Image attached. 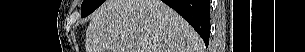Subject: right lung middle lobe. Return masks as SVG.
Masks as SVG:
<instances>
[{
    "label": "right lung middle lobe",
    "mask_w": 305,
    "mask_h": 52,
    "mask_svg": "<svg viewBox=\"0 0 305 52\" xmlns=\"http://www.w3.org/2000/svg\"><path fill=\"white\" fill-rule=\"evenodd\" d=\"M105 0H84L81 5V16L86 17L97 9Z\"/></svg>",
    "instance_id": "1"
}]
</instances>
